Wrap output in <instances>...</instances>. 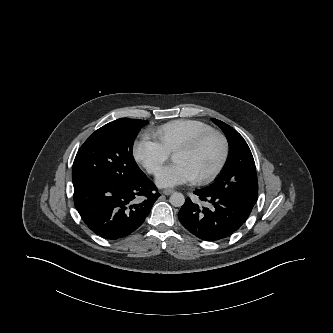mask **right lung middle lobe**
Returning a JSON list of instances; mask_svg holds the SVG:
<instances>
[{
  "label": "right lung middle lobe",
  "mask_w": 333,
  "mask_h": 333,
  "mask_svg": "<svg viewBox=\"0 0 333 333\" xmlns=\"http://www.w3.org/2000/svg\"><path fill=\"white\" fill-rule=\"evenodd\" d=\"M146 120L121 118L96 130L78 150L72 169L73 186L95 182L128 184L141 172L133 143Z\"/></svg>",
  "instance_id": "right-lung-middle-lobe-1"
}]
</instances>
